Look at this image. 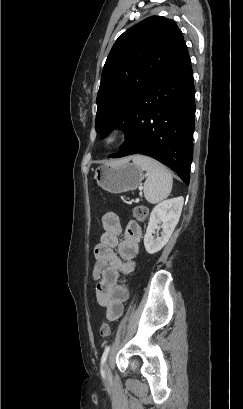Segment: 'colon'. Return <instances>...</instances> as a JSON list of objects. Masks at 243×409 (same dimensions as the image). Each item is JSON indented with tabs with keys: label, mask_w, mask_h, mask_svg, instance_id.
I'll return each mask as SVG.
<instances>
[{
	"label": "colon",
	"mask_w": 243,
	"mask_h": 409,
	"mask_svg": "<svg viewBox=\"0 0 243 409\" xmlns=\"http://www.w3.org/2000/svg\"><path fill=\"white\" fill-rule=\"evenodd\" d=\"M148 215V209L144 205H137L133 209V216L137 221H144ZM110 333V325L108 322H103L99 328V334L101 337L106 338Z\"/></svg>",
	"instance_id": "1"
}]
</instances>
